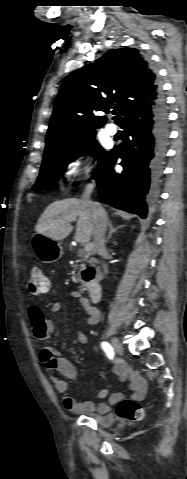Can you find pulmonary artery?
I'll list each match as a JSON object with an SVG mask.
<instances>
[{
  "instance_id": "1",
  "label": "pulmonary artery",
  "mask_w": 187,
  "mask_h": 479,
  "mask_svg": "<svg viewBox=\"0 0 187 479\" xmlns=\"http://www.w3.org/2000/svg\"><path fill=\"white\" fill-rule=\"evenodd\" d=\"M106 132H107L109 135L113 136V135H115V134L117 133V127H116L114 124H108V125L106 126Z\"/></svg>"
}]
</instances>
